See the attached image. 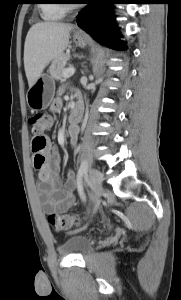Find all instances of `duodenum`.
Returning a JSON list of instances; mask_svg holds the SVG:
<instances>
[{
	"mask_svg": "<svg viewBox=\"0 0 181 300\" xmlns=\"http://www.w3.org/2000/svg\"><path fill=\"white\" fill-rule=\"evenodd\" d=\"M84 104L82 100H77L75 102L74 108L70 116V126L76 127L82 117Z\"/></svg>",
	"mask_w": 181,
	"mask_h": 300,
	"instance_id": "obj_1",
	"label": "duodenum"
}]
</instances>
